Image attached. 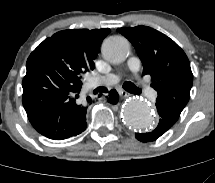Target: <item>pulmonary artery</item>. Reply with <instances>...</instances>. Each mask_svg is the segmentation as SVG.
<instances>
[{"label": "pulmonary artery", "instance_id": "1", "mask_svg": "<svg viewBox=\"0 0 215 183\" xmlns=\"http://www.w3.org/2000/svg\"><path fill=\"white\" fill-rule=\"evenodd\" d=\"M138 65H139V60H138V59H135V58L131 59V60L128 62V67L131 68V69H134V68L138 67ZM119 80H120V78H119L118 76H116V75H113V76L110 78V81H111V82H118ZM156 95H157V94H156L155 91H153V92L151 93V97H153V98H155Z\"/></svg>", "mask_w": 215, "mask_h": 183}]
</instances>
